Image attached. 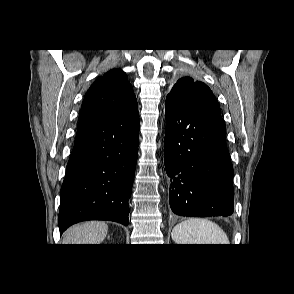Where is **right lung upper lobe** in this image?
Returning <instances> with one entry per match:
<instances>
[{
	"label": "right lung upper lobe",
	"mask_w": 294,
	"mask_h": 294,
	"mask_svg": "<svg viewBox=\"0 0 294 294\" xmlns=\"http://www.w3.org/2000/svg\"><path fill=\"white\" fill-rule=\"evenodd\" d=\"M131 84L120 69H112L98 78L83 100L79 121L114 114L135 101Z\"/></svg>",
	"instance_id": "right-lung-upper-lobe-1"
}]
</instances>
